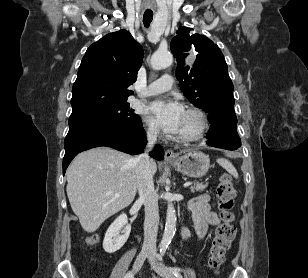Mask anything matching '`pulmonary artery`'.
<instances>
[{
  "mask_svg": "<svg viewBox=\"0 0 308 278\" xmlns=\"http://www.w3.org/2000/svg\"><path fill=\"white\" fill-rule=\"evenodd\" d=\"M173 86V78L170 75H163L151 83L143 92L142 96L150 97L170 90Z\"/></svg>",
  "mask_w": 308,
  "mask_h": 278,
  "instance_id": "pulmonary-artery-1",
  "label": "pulmonary artery"
}]
</instances>
